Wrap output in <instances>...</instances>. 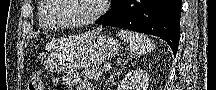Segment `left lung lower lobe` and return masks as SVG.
I'll return each mask as SVG.
<instances>
[{
  "mask_svg": "<svg viewBox=\"0 0 216 90\" xmlns=\"http://www.w3.org/2000/svg\"><path fill=\"white\" fill-rule=\"evenodd\" d=\"M182 0H118L96 23L159 36L178 50Z\"/></svg>",
  "mask_w": 216,
  "mask_h": 90,
  "instance_id": "left-lung-lower-lobe-1",
  "label": "left lung lower lobe"
}]
</instances>
